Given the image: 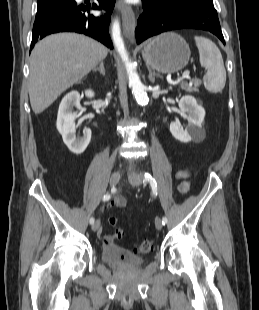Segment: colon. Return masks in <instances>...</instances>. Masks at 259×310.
<instances>
[{"label": "colon", "instance_id": "1", "mask_svg": "<svg viewBox=\"0 0 259 310\" xmlns=\"http://www.w3.org/2000/svg\"><path fill=\"white\" fill-rule=\"evenodd\" d=\"M109 223L110 225L115 226L117 224V219L115 217H110ZM123 235H124V232L122 229L116 228L114 230L113 237L115 239H121ZM153 245H154V241L152 239H144L135 246L134 251L137 254H146L153 249Z\"/></svg>", "mask_w": 259, "mask_h": 310}]
</instances>
